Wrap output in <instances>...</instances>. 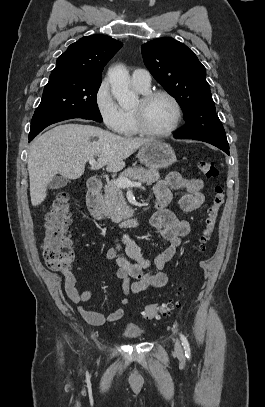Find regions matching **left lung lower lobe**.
<instances>
[{
    "label": "left lung lower lobe",
    "mask_w": 265,
    "mask_h": 407,
    "mask_svg": "<svg viewBox=\"0 0 265 407\" xmlns=\"http://www.w3.org/2000/svg\"><path fill=\"white\" fill-rule=\"evenodd\" d=\"M216 147H218V146H216ZM218 148H220L221 150H223L224 152H226L227 154H229V148L227 149V148H223V147H218Z\"/></svg>",
    "instance_id": "1"
}]
</instances>
